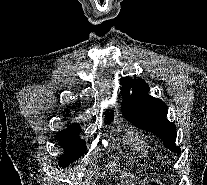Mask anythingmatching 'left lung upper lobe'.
I'll return each mask as SVG.
<instances>
[{"instance_id":"5c2ea615","label":"left lung upper lobe","mask_w":207,"mask_h":185,"mask_svg":"<svg viewBox=\"0 0 207 185\" xmlns=\"http://www.w3.org/2000/svg\"><path fill=\"white\" fill-rule=\"evenodd\" d=\"M121 94L123 98L122 111L125 117L140 129L157 135L165 147L180 154V148L175 145L176 126L167 120V106L158 99L148 95L149 87L143 79H121ZM133 88L132 95L129 94Z\"/></svg>"}]
</instances>
